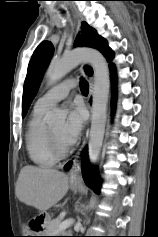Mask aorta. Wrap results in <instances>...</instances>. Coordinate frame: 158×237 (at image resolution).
Wrapping results in <instances>:
<instances>
[{"label":"aorta","mask_w":158,"mask_h":237,"mask_svg":"<svg viewBox=\"0 0 158 237\" xmlns=\"http://www.w3.org/2000/svg\"><path fill=\"white\" fill-rule=\"evenodd\" d=\"M81 62L89 63L94 71L92 121L89 134L88 155L91 164H95L99 157L107 120V103L109 97V69L103 55L94 49H79L65 54L61 59L51 61L47 78L49 83H55L70 72ZM66 113L54 108L50 117V124H62Z\"/></svg>","instance_id":"1"}]
</instances>
